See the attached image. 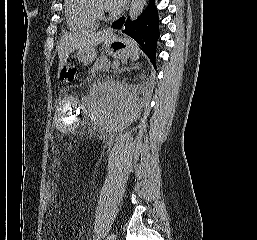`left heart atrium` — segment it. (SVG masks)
<instances>
[{"instance_id": "1", "label": "left heart atrium", "mask_w": 257, "mask_h": 240, "mask_svg": "<svg viewBox=\"0 0 257 240\" xmlns=\"http://www.w3.org/2000/svg\"><path fill=\"white\" fill-rule=\"evenodd\" d=\"M128 0H107V5L110 10L119 11L127 3Z\"/></svg>"}]
</instances>
